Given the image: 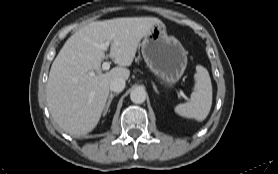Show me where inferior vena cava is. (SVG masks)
Instances as JSON below:
<instances>
[{"label":"inferior vena cava","instance_id":"1","mask_svg":"<svg viewBox=\"0 0 278 174\" xmlns=\"http://www.w3.org/2000/svg\"><path fill=\"white\" fill-rule=\"evenodd\" d=\"M125 88V80L123 78H115L110 83V89L114 92H121Z\"/></svg>","mask_w":278,"mask_h":174}]
</instances>
